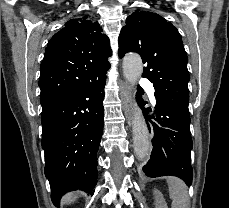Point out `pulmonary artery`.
<instances>
[{
  "label": "pulmonary artery",
  "instance_id": "pulmonary-artery-1",
  "mask_svg": "<svg viewBox=\"0 0 229 208\" xmlns=\"http://www.w3.org/2000/svg\"><path fill=\"white\" fill-rule=\"evenodd\" d=\"M147 82H148L147 78H142L141 82L139 83V86L140 87H146V90H147L149 96L151 97L152 102L155 103L153 85L151 83H147Z\"/></svg>",
  "mask_w": 229,
  "mask_h": 208
}]
</instances>
